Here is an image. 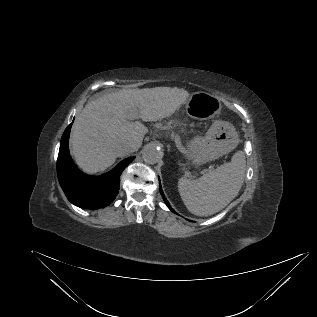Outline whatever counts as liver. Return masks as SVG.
<instances>
[{
    "instance_id": "6515ba94",
    "label": "liver",
    "mask_w": 317,
    "mask_h": 317,
    "mask_svg": "<svg viewBox=\"0 0 317 317\" xmlns=\"http://www.w3.org/2000/svg\"><path fill=\"white\" fill-rule=\"evenodd\" d=\"M184 89L155 87L108 93L87 103L71 129L70 144L77 165L87 173L104 171L115 163L124 142L141 146L148 129L136 119L157 121L186 103ZM128 155V154H126Z\"/></svg>"
}]
</instances>
